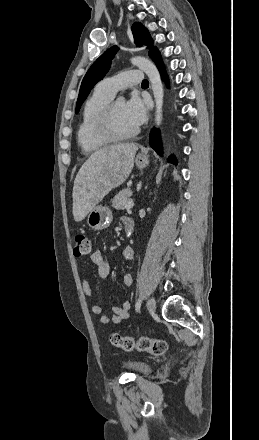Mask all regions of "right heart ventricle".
<instances>
[{
    "instance_id": "e07e8e85",
    "label": "right heart ventricle",
    "mask_w": 259,
    "mask_h": 440,
    "mask_svg": "<svg viewBox=\"0 0 259 440\" xmlns=\"http://www.w3.org/2000/svg\"><path fill=\"white\" fill-rule=\"evenodd\" d=\"M112 98V96L95 89L84 103L76 132L77 143L83 153L92 154L110 144L109 141L98 135L97 124L104 108Z\"/></svg>"
}]
</instances>
